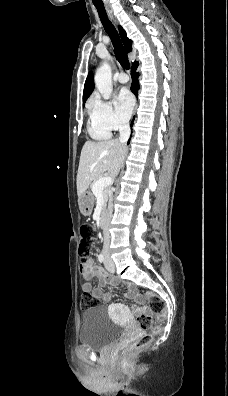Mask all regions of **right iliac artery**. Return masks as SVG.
Masks as SVG:
<instances>
[{
    "instance_id": "right-iliac-artery-1",
    "label": "right iliac artery",
    "mask_w": 228,
    "mask_h": 396,
    "mask_svg": "<svg viewBox=\"0 0 228 396\" xmlns=\"http://www.w3.org/2000/svg\"><path fill=\"white\" fill-rule=\"evenodd\" d=\"M98 260L100 263L104 262V255L103 254H99L98 255Z\"/></svg>"
}]
</instances>
